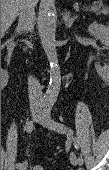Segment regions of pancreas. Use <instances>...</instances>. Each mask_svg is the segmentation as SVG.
<instances>
[{
	"instance_id": "obj_1",
	"label": "pancreas",
	"mask_w": 109,
	"mask_h": 170,
	"mask_svg": "<svg viewBox=\"0 0 109 170\" xmlns=\"http://www.w3.org/2000/svg\"><path fill=\"white\" fill-rule=\"evenodd\" d=\"M93 12H97V14H103V15H108L109 14V8L107 6L99 5L95 6L94 8L91 9Z\"/></svg>"
}]
</instances>
